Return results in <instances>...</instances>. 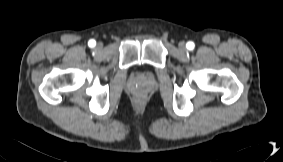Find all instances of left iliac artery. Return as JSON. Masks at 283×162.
<instances>
[{
    "label": "left iliac artery",
    "instance_id": "obj_1",
    "mask_svg": "<svg viewBox=\"0 0 283 162\" xmlns=\"http://www.w3.org/2000/svg\"><path fill=\"white\" fill-rule=\"evenodd\" d=\"M194 46H195L194 43L191 42V41L187 42V44H186V47H187L189 50L194 49Z\"/></svg>",
    "mask_w": 283,
    "mask_h": 162
}]
</instances>
